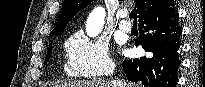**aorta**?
I'll return each mask as SVG.
<instances>
[{
  "label": "aorta",
  "instance_id": "aorta-1",
  "mask_svg": "<svg viewBox=\"0 0 205 87\" xmlns=\"http://www.w3.org/2000/svg\"><path fill=\"white\" fill-rule=\"evenodd\" d=\"M106 11L103 7L94 8L86 21V32L90 37H96L102 31L105 22Z\"/></svg>",
  "mask_w": 205,
  "mask_h": 87
}]
</instances>
